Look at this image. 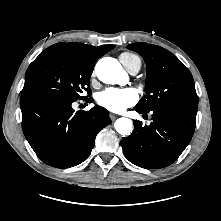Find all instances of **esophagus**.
I'll return each mask as SVG.
<instances>
[{
    "instance_id": "obj_1",
    "label": "esophagus",
    "mask_w": 221,
    "mask_h": 221,
    "mask_svg": "<svg viewBox=\"0 0 221 221\" xmlns=\"http://www.w3.org/2000/svg\"><path fill=\"white\" fill-rule=\"evenodd\" d=\"M117 117H118L117 114H115V113H110V118H111L112 121H114Z\"/></svg>"
}]
</instances>
